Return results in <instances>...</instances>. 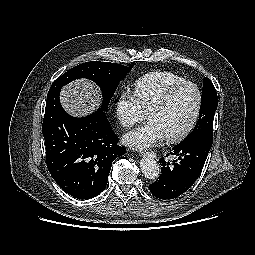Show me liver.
<instances>
[{
    "instance_id": "liver-1",
    "label": "liver",
    "mask_w": 255,
    "mask_h": 255,
    "mask_svg": "<svg viewBox=\"0 0 255 255\" xmlns=\"http://www.w3.org/2000/svg\"><path fill=\"white\" fill-rule=\"evenodd\" d=\"M61 102L65 110L73 116H85L95 110L100 102V93L87 80H77L61 91Z\"/></svg>"
}]
</instances>
